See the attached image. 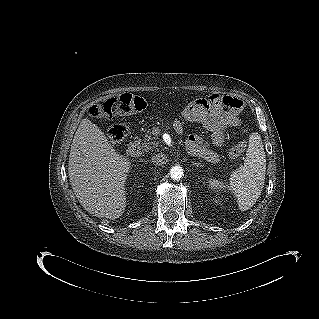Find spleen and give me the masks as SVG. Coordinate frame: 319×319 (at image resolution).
Instances as JSON below:
<instances>
[{
	"mask_svg": "<svg viewBox=\"0 0 319 319\" xmlns=\"http://www.w3.org/2000/svg\"><path fill=\"white\" fill-rule=\"evenodd\" d=\"M266 158L261 137L252 133L244 158V166L232 172L229 184L215 179L209 180L212 189H227L237 197L239 209L245 211L252 207L264 187Z\"/></svg>",
	"mask_w": 319,
	"mask_h": 319,
	"instance_id": "1",
	"label": "spleen"
}]
</instances>
